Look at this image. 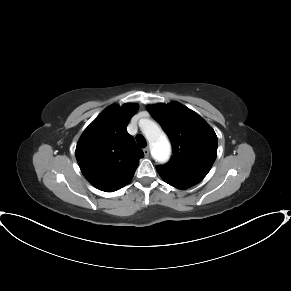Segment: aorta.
<instances>
[{"label":"aorta","mask_w":291,"mask_h":291,"mask_svg":"<svg viewBox=\"0 0 291 291\" xmlns=\"http://www.w3.org/2000/svg\"><path fill=\"white\" fill-rule=\"evenodd\" d=\"M140 128L152 147L153 158L159 162L167 161L171 154V145L160 126L150 119H142Z\"/></svg>","instance_id":"1"}]
</instances>
